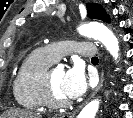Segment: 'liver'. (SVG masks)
Wrapping results in <instances>:
<instances>
[{"mask_svg":"<svg viewBox=\"0 0 133 118\" xmlns=\"http://www.w3.org/2000/svg\"><path fill=\"white\" fill-rule=\"evenodd\" d=\"M42 118L40 113H34L26 110L13 109L1 115V118Z\"/></svg>","mask_w":133,"mask_h":118,"instance_id":"1","label":"liver"}]
</instances>
